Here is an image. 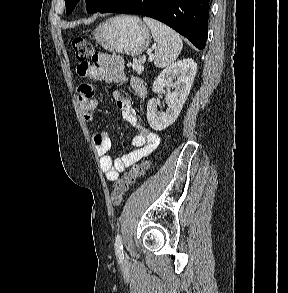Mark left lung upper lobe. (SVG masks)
Wrapping results in <instances>:
<instances>
[{
	"label": "left lung upper lobe",
	"mask_w": 288,
	"mask_h": 293,
	"mask_svg": "<svg viewBox=\"0 0 288 293\" xmlns=\"http://www.w3.org/2000/svg\"><path fill=\"white\" fill-rule=\"evenodd\" d=\"M79 0H65L66 3V14L72 13L77 2ZM87 1V11L89 13L100 12L110 6L112 3L118 0H86Z\"/></svg>",
	"instance_id": "obj_1"
}]
</instances>
